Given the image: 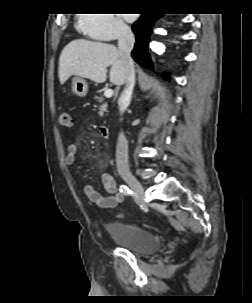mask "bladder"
Listing matches in <instances>:
<instances>
[{
  "label": "bladder",
  "instance_id": "bladder-1",
  "mask_svg": "<svg viewBox=\"0 0 252 303\" xmlns=\"http://www.w3.org/2000/svg\"><path fill=\"white\" fill-rule=\"evenodd\" d=\"M115 242L139 254H152L160 250L159 238L148 229L134 224L112 222L107 225Z\"/></svg>",
  "mask_w": 252,
  "mask_h": 303
}]
</instances>
